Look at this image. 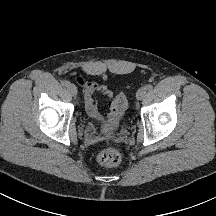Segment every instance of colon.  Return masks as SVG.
<instances>
[{
  "instance_id": "obj_1",
  "label": "colon",
  "mask_w": 216,
  "mask_h": 216,
  "mask_svg": "<svg viewBox=\"0 0 216 216\" xmlns=\"http://www.w3.org/2000/svg\"><path fill=\"white\" fill-rule=\"evenodd\" d=\"M127 108V98L123 93L117 95L115 100L111 104V112L120 117L123 115ZM121 160L120 152L115 148H106L101 151L97 156V162L103 167L116 166Z\"/></svg>"
}]
</instances>
